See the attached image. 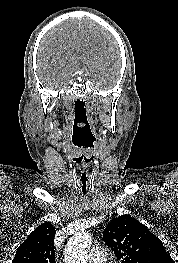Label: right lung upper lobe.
I'll list each match as a JSON object with an SVG mask.
<instances>
[{
	"label": "right lung upper lobe",
	"mask_w": 178,
	"mask_h": 263,
	"mask_svg": "<svg viewBox=\"0 0 178 263\" xmlns=\"http://www.w3.org/2000/svg\"><path fill=\"white\" fill-rule=\"evenodd\" d=\"M55 227L45 222L17 248L12 263H55Z\"/></svg>",
	"instance_id": "1"
}]
</instances>
